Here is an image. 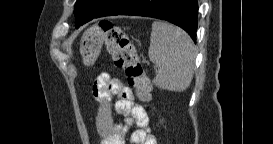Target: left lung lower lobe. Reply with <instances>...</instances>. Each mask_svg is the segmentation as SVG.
Segmentation results:
<instances>
[{"mask_svg": "<svg viewBox=\"0 0 273 144\" xmlns=\"http://www.w3.org/2000/svg\"><path fill=\"white\" fill-rule=\"evenodd\" d=\"M111 15L153 17L174 23L196 41L197 0H96L75 12L76 28L93 18Z\"/></svg>", "mask_w": 273, "mask_h": 144, "instance_id": "0a47b994", "label": "left lung lower lobe"}]
</instances>
